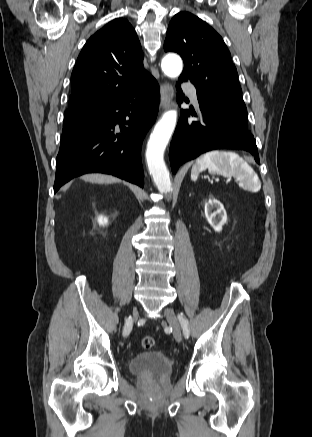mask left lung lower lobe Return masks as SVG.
Returning a JSON list of instances; mask_svg holds the SVG:
<instances>
[{
  "mask_svg": "<svg viewBox=\"0 0 312 437\" xmlns=\"http://www.w3.org/2000/svg\"><path fill=\"white\" fill-rule=\"evenodd\" d=\"M179 82H182L179 80ZM178 99L183 101V93L178 90ZM202 115L197 121L188 119L194 111L182 110L170 146L169 158L172 172L178 167L213 149L245 150L254 155L259 164L255 138L243 123L233 117L224 107L198 99Z\"/></svg>",
  "mask_w": 312,
  "mask_h": 437,
  "instance_id": "0a47b994",
  "label": "left lung lower lobe"
}]
</instances>
